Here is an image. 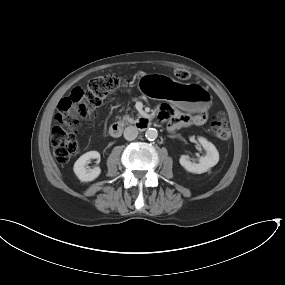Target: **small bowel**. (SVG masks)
Here are the masks:
<instances>
[{"label":"small bowel","mask_w":285,"mask_h":285,"mask_svg":"<svg viewBox=\"0 0 285 285\" xmlns=\"http://www.w3.org/2000/svg\"><path fill=\"white\" fill-rule=\"evenodd\" d=\"M157 116L160 120H168L167 130L169 132H173L183 126L202 123L207 118L206 114L204 113L195 115L175 114L173 108L168 104H162L159 107Z\"/></svg>","instance_id":"small-bowel-1"}]
</instances>
